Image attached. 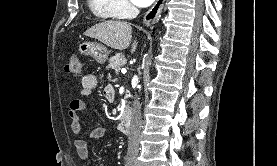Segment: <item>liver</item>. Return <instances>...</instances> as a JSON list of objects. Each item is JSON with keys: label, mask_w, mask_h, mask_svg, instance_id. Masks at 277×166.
<instances>
[{"label": "liver", "mask_w": 277, "mask_h": 166, "mask_svg": "<svg viewBox=\"0 0 277 166\" xmlns=\"http://www.w3.org/2000/svg\"><path fill=\"white\" fill-rule=\"evenodd\" d=\"M131 33L132 28L129 23L124 21L108 20L87 29L84 35L97 39L113 49L125 50L131 43ZM136 48L137 41H134L131 53H134Z\"/></svg>", "instance_id": "obj_1"}]
</instances>
